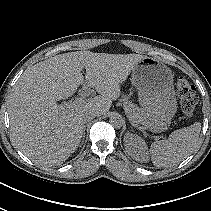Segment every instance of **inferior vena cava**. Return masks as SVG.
Masks as SVG:
<instances>
[{"mask_svg":"<svg viewBox=\"0 0 211 211\" xmlns=\"http://www.w3.org/2000/svg\"><path fill=\"white\" fill-rule=\"evenodd\" d=\"M96 114L94 112H85L82 114V118L84 122H88L95 118Z\"/></svg>","mask_w":211,"mask_h":211,"instance_id":"602c4592","label":"inferior vena cava"}]
</instances>
